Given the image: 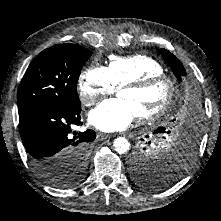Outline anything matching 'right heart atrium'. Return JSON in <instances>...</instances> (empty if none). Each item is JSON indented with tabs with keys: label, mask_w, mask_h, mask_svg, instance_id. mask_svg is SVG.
Returning <instances> with one entry per match:
<instances>
[{
	"label": "right heart atrium",
	"mask_w": 221,
	"mask_h": 221,
	"mask_svg": "<svg viewBox=\"0 0 221 221\" xmlns=\"http://www.w3.org/2000/svg\"><path fill=\"white\" fill-rule=\"evenodd\" d=\"M116 87L106 67L94 65L83 71L78 80V91L82 103L95 104L99 98L112 94Z\"/></svg>",
	"instance_id": "1"
}]
</instances>
